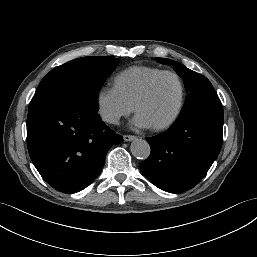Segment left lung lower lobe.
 <instances>
[{
    "mask_svg": "<svg viewBox=\"0 0 257 257\" xmlns=\"http://www.w3.org/2000/svg\"><path fill=\"white\" fill-rule=\"evenodd\" d=\"M223 108L220 99L180 114L165 132L147 137L150 156L139 167L158 188L180 193L207 173L222 146Z\"/></svg>",
    "mask_w": 257,
    "mask_h": 257,
    "instance_id": "obj_1",
    "label": "left lung lower lobe"
}]
</instances>
